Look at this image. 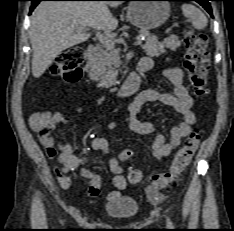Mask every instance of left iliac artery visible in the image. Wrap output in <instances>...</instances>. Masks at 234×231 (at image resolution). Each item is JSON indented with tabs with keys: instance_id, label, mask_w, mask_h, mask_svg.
I'll use <instances>...</instances> for the list:
<instances>
[{
	"instance_id": "1",
	"label": "left iliac artery",
	"mask_w": 234,
	"mask_h": 231,
	"mask_svg": "<svg viewBox=\"0 0 234 231\" xmlns=\"http://www.w3.org/2000/svg\"><path fill=\"white\" fill-rule=\"evenodd\" d=\"M167 226H168L169 228H172V227H173V224H172V222L170 221L169 218L167 219Z\"/></svg>"
}]
</instances>
